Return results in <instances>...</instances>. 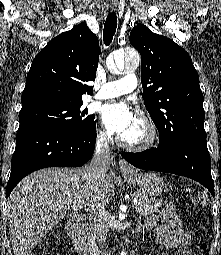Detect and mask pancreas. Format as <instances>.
Here are the masks:
<instances>
[{
    "label": "pancreas",
    "instance_id": "pancreas-1",
    "mask_svg": "<svg viewBox=\"0 0 221 255\" xmlns=\"http://www.w3.org/2000/svg\"><path fill=\"white\" fill-rule=\"evenodd\" d=\"M130 196L133 201L136 200L135 210L144 216L158 212L162 205V200L149 199L138 191L131 192Z\"/></svg>",
    "mask_w": 221,
    "mask_h": 255
}]
</instances>
